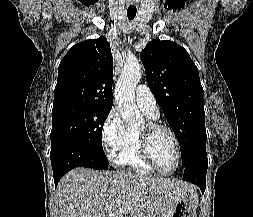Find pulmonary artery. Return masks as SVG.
<instances>
[{"label":"pulmonary artery","instance_id":"e3ab8cb5","mask_svg":"<svg viewBox=\"0 0 253 217\" xmlns=\"http://www.w3.org/2000/svg\"><path fill=\"white\" fill-rule=\"evenodd\" d=\"M136 102L138 106L149 116L158 117L157 102L147 85L141 84L137 86L135 91Z\"/></svg>","mask_w":253,"mask_h":217}]
</instances>
